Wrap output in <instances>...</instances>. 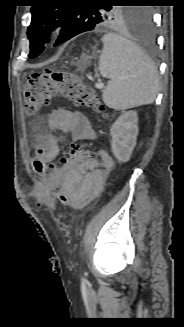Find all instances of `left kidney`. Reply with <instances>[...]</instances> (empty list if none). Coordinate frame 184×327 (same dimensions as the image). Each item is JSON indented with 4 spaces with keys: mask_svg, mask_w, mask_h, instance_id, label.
Wrapping results in <instances>:
<instances>
[{
    "mask_svg": "<svg viewBox=\"0 0 184 327\" xmlns=\"http://www.w3.org/2000/svg\"><path fill=\"white\" fill-rule=\"evenodd\" d=\"M138 114L126 111L111 126V149L115 158L121 162L130 160L138 135Z\"/></svg>",
    "mask_w": 184,
    "mask_h": 327,
    "instance_id": "left-kidney-1",
    "label": "left kidney"
}]
</instances>
